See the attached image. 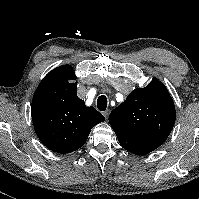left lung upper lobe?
Listing matches in <instances>:
<instances>
[{
  "instance_id": "obj_1",
  "label": "left lung upper lobe",
  "mask_w": 199,
  "mask_h": 199,
  "mask_svg": "<svg viewBox=\"0 0 199 199\" xmlns=\"http://www.w3.org/2000/svg\"><path fill=\"white\" fill-rule=\"evenodd\" d=\"M176 112L167 88L157 78L144 88L133 90L109 115L115 132L162 145L174 124Z\"/></svg>"
}]
</instances>
